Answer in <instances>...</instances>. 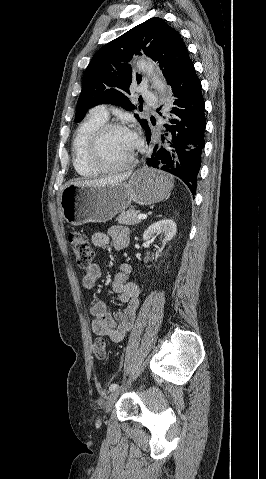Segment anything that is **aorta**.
Here are the masks:
<instances>
[{
  "label": "aorta",
  "mask_w": 266,
  "mask_h": 479,
  "mask_svg": "<svg viewBox=\"0 0 266 479\" xmlns=\"http://www.w3.org/2000/svg\"><path fill=\"white\" fill-rule=\"evenodd\" d=\"M139 70L142 72L151 73L153 76L154 86L161 93L164 94L166 91V86L164 81L156 73L154 64L150 61H141L139 63Z\"/></svg>",
  "instance_id": "1"
}]
</instances>
